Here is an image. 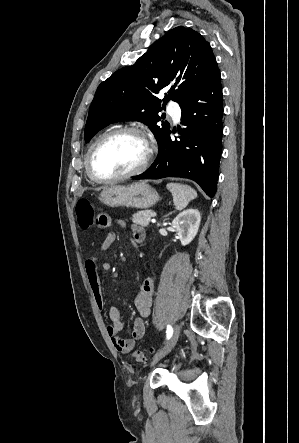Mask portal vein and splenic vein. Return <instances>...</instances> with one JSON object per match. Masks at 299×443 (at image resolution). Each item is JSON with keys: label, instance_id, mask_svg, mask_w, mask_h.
I'll list each match as a JSON object with an SVG mask.
<instances>
[{"label": "portal vein and splenic vein", "instance_id": "1", "mask_svg": "<svg viewBox=\"0 0 299 443\" xmlns=\"http://www.w3.org/2000/svg\"><path fill=\"white\" fill-rule=\"evenodd\" d=\"M150 217H156V213L155 212L150 213Z\"/></svg>", "mask_w": 299, "mask_h": 443}]
</instances>
